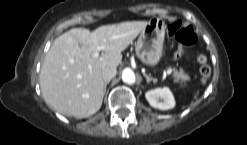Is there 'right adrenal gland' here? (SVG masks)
I'll return each instance as SVG.
<instances>
[{
	"label": "right adrenal gland",
	"instance_id": "2a0ac1e0",
	"mask_svg": "<svg viewBox=\"0 0 247 145\" xmlns=\"http://www.w3.org/2000/svg\"><path fill=\"white\" fill-rule=\"evenodd\" d=\"M109 82H110V81H106V82L104 83V93H106L107 84H109Z\"/></svg>",
	"mask_w": 247,
	"mask_h": 145
}]
</instances>
